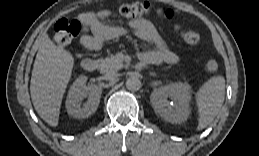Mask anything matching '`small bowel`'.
Wrapping results in <instances>:
<instances>
[{"mask_svg": "<svg viewBox=\"0 0 259 156\" xmlns=\"http://www.w3.org/2000/svg\"><path fill=\"white\" fill-rule=\"evenodd\" d=\"M109 10L89 11L82 13L79 17L86 33L81 38L84 48L92 50L98 47L107 38L122 36L126 29L121 26H109L106 20L110 17ZM128 27L136 37L153 46V50L144 52L141 56L142 63H175L177 55L171 51L154 25L142 18L132 19L128 22Z\"/></svg>", "mask_w": 259, "mask_h": 156, "instance_id": "1", "label": "small bowel"}]
</instances>
